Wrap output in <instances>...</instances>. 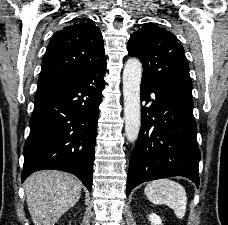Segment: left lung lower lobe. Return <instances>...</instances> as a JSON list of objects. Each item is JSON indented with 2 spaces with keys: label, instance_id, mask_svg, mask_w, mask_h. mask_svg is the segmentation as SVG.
<instances>
[{
  "label": "left lung lower lobe",
  "instance_id": "0a47b994",
  "mask_svg": "<svg viewBox=\"0 0 228 225\" xmlns=\"http://www.w3.org/2000/svg\"><path fill=\"white\" fill-rule=\"evenodd\" d=\"M140 96L148 106L142 107L141 129L130 157L127 196L143 182L173 176L187 177L198 187L200 151L192 96L145 80Z\"/></svg>",
  "mask_w": 228,
  "mask_h": 225
}]
</instances>
